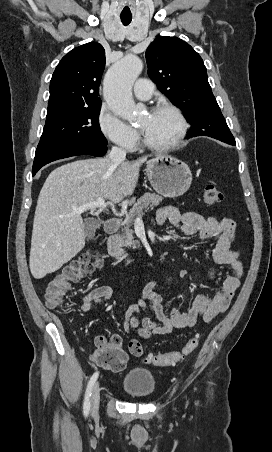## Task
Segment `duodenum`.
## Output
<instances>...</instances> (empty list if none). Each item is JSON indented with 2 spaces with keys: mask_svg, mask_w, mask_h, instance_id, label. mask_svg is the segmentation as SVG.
Listing matches in <instances>:
<instances>
[{
  "mask_svg": "<svg viewBox=\"0 0 272 452\" xmlns=\"http://www.w3.org/2000/svg\"><path fill=\"white\" fill-rule=\"evenodd\" d=\"M119 229V221L115 218L109 219L105 223V230L108 234V252L109 254L118 260L123 262H132L136 255L127 253L119 245L116 233Z\"/></svg>",
  "mask_w": 272,
  "mask_h": 452,
  "instance_id": "410a0bca",
  "label": "duodenum"
}]
</instances>
